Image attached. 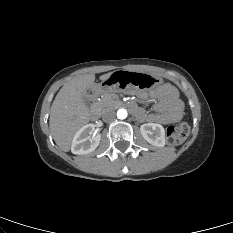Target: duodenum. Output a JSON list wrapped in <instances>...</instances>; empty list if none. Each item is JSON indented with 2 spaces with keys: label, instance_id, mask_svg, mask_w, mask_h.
Here are the masks:
<instances>
[{
  "label": "duodenum",
  "instance_id": "obj_1",
  "mask_svg": "<svg viewBox=\"0 0 233 233\" xmlns=\"http://www.w3.org/2000/svg\"><path fill=\"white\" fill-rule=\"evenodd\" d=\"M127 106L130 107V108H132V109H135L134 105H132V104H127ZM90 117L93 120H97L98 119V117H99V108H98L97 105H93V107L91 108Z\"/></svg>",
  "mask_w": 233,
  "mask_h": 233
}]
</instances>
